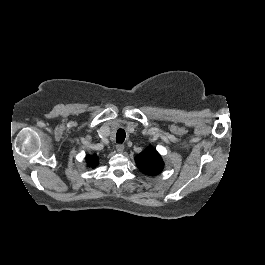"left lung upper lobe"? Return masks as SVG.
<instances>
[{"label": "left lung upper lobe", "instance_id": "5c2ea615", "mask_svg": "<svg viewBox=\"0 0 265 265\" xmlns=\"http://www.w3.org/2000/svg\"><path fill=\"white\" fill-rule=\"evenodd\" d=\"M138 168L147 175H157L164 167L163 160L154 148H147L135 157Z\"/></svg>", "mask_w": 265, "mask_h": 265}]
</instances>
